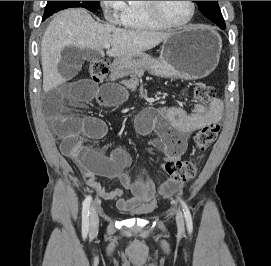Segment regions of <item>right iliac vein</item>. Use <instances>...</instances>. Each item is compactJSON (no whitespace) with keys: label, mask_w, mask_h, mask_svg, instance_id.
<instances>
[{"label":"right iliac vein","mask_w":271,"mask_h":266,"mask_svg":"<svg viewBox=\"0 0 271 266\" xmlns=\"http://www.w3.org/2000/svg\"><path fill=\"white\" fill-rule=\"evenodd\" d=\"M89 233L90 236H94L98 231L99 218L97 214L96 207L93 205L90 208V217H89Z\"/></svg>","instance_id":"63e3f726"}]
</instances>
